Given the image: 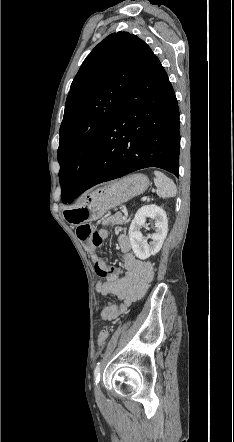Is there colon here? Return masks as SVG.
<instances>
[{"instance_id": "1", "label": "colon", "mask_w": 234, "mask_h": 442, "mask_svg": "<svg viewBox=\"0 0 234 442\" xmlns=\"http://www.w3.org/2000/svg\"><path fill=\"white\" fill-rule=\"evenodd\" d=\"M77 236L84 247L90 252L95 253L96 248L102 243L98 233L89 224H82L77 228ZM108 332L102 331L98 337L99 346H103L107 340Z\"/></svg>"}]
</instances>
